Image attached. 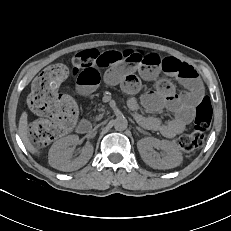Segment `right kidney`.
I'll return each instance as SVG.
<instances>
[{
    "label": "right kidney",
    "mask_w": 231,
    "mask_h": 231,
    "mask_svg": "<svg viewBox=\"0 0 231 231\" xmlns=\"http://www.w3.org/2000/svg\"><path fill=\"white\" fill-rule=\"evenodd\" d=\"M79 141L77 135H69L57 140L50 148L48 160L50 166L61 171H74L84 166L93 154V146L87 144L79 157L72 159L73 148Z\"/></svg>",
    "instance_id": "obj_1"
}]
</instances>
